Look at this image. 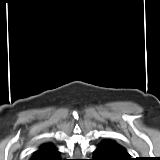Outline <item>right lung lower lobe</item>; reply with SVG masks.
Wrapping results in <instances>:
<instances>
[{
    "mask_svg": "<svg viewBox=\"0 0 160 160\" xmlns=\"http://www.w3.org/2000/svg\"><path fill=\"white\" fill-rule=\"evenodd\" d=\"M30 160H61L60 153L53 146L50 149L31 157Z\"/></svg>",
    "mask_w": 160,
    "mask_h": 160,
    "instance_id": "98d812e1",
    "label": "right lung lower lobe"
}]
</instances>
